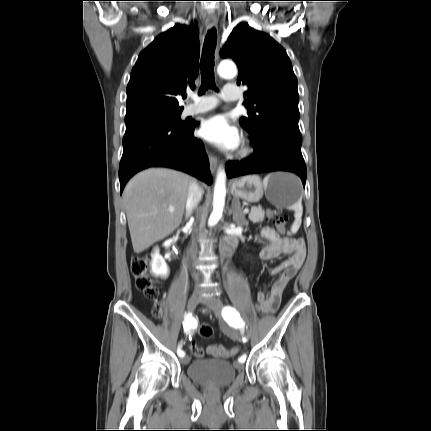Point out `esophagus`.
<instances>
[{
	"label": "esophagus",
	"instance_id": "1",
	"mask_svg": "<svg viewBox=\"0 0 431 431\" xmlns=\"http://www.w3.org/2000/svg\"><path fill=\"white\" fill-rule=\"evenodd\" d=\"M206 25H207L208 29H212V28L217 27V19L215 17H209L207 19ZM215 57H216V59H218V50L217 49L215 51ZM209 166H210V170H211L212 174H215V172L218 168V160L212 154H209Z\"/></svg>",
	"mask_w": 431,
	"mask_h": 431
}]
</instances>
